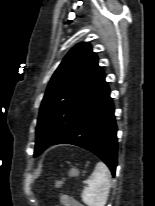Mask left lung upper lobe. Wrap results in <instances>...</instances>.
<instances>
[{
    "label": "left lung upper lobe",
    "instance_id": "left-lung-upper-lobe-1",
    "mask_svg": "<svg viewBox=\"0 0 155 206\" xmlns=\"http://www.w3.org/2000/svg\"><path fill=\"white\" fill-rule=\"evenodd\" d=\"M108 88L91 46L83 42L73 47L53 74L42 100L34 156L64 136Z\"/></svg>",
    "mask_w": 155,
    "mask_h": 206
}]
</instances>
